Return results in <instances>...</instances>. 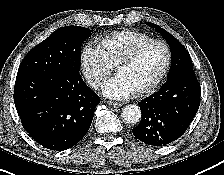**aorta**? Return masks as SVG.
I'll return each instance as SVG.
<instances>
[{
	"label": "aorta",
	"instance_id": "762f6f07",
	"mask_svg": "<svg viewBox=\"0 0 224 175\" xmlns=\"http://www.w3.org/2000/svg\"><path fill=\"white\" fill-rule=\"evenodd\" d=\"M122 118L127 123L135 124L141 119V110L137 105H126L122 110Z\"/></svg>",
	"mask_w": 224,
	"mask_h": 175
}]
</instances>
